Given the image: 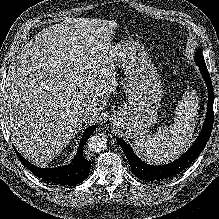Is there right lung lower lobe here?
I'll list each match as a JSON object with an SVG mask.
<instances>
[{
  "mask_svg": "<svg viewBox=\"0 0 219 219\" xmlns=\"http://www.w3.org/2000/svg\"><path fill=\"white\" fill-rule=\"evenodd\" d=\"M96 129V125L90 126L85 130L81 138L78 151L74 157L73 163L58 168H39L26 159H24L18 151L15 150L19 160L24 164L32 173L43 180L58 183L63 185H75L84 181L91 168V162L88 161L83 155V147L87 139Z\"/></svg>",
  "mask_w": 219,
  "mask_h": 219,
  "instance_id": "98d812e1",
  "label": "right lung lower lobe"
}]
</instances>
